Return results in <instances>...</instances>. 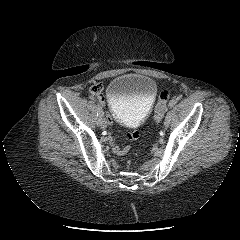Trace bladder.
<instances>
[{
    "mask_svg": "<svg viewBox=\"0 0 240 240\" xmlns=\"http://www.w3.org/2000/svg\"><path fill=\"white\" fill-rule=\"evenodd\" d=\"M157 94L156 82L145 75L127 73L113 79L106 92L116 120L127 127L141 124L149 115Z\"/></svg>",
    "mask_w": 240,
    "mask_h": 240,
    "instance_id": "bladder-1",
    "label": "bladder"
}]
</instances>
